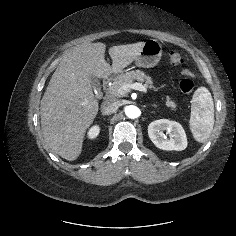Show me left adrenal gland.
Here are the masks:
<instances>
[{
	"mask_svg": "<svg viewBox=\"0 0 236 236\" xmlns=\"http://www.w3.org/2000/svg\"><path fill=\"white\" fill-rule=\"evenodd\" d=\"M151 106H152V107H155V108L157 107V105H155V104H152Z\"/></svg>",
	"mask_w": 236,
	"mask_h": 236,
	"instance_id": "left-adrenal-gland-1",
	"label": "left adrenal gland"
}]
</instances>
